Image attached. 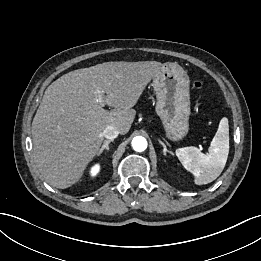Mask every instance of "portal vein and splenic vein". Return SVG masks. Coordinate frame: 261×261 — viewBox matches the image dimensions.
Wrapping results in <instances>:
<instances>
[{"instance_id": "1", "label": "portal vein and splenic vein", "mask_w": 261, "mask_h": 261, "mask_svg": "<svg viewBox=\"0 0 261 261\" xmlns=\"http://www.w3.org/2000/svg\"><path fill=\"white\" fill-rule=\"evenodd\" d=\"M96 97H97V102L104 107L105 101H104V92L103 90H97L96 91Z\"/></svg>"}]
</instances>
